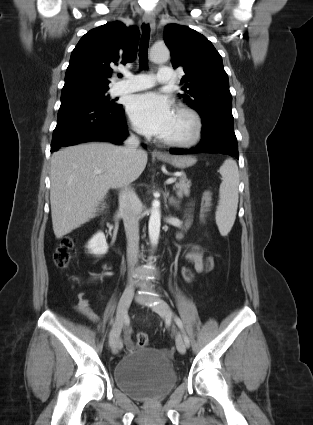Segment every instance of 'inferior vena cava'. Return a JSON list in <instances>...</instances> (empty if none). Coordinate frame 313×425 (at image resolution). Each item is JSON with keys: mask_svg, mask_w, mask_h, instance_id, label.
<instances>
[{"mask_svg": "<svg viewBox=\"0 0 313 425\" xmlns=\"http://www.w3.org/2000/svg\"><path fill=\"white\" fill-rule=\"evenodd\" d=\"M139 145V139L135 135H130L125 140L124 147L120 150L128 157H135L139 152ZM121 188L119 209L123 218L127 238V262L130 270H132L138 262L140 200L129 186V183H125ZM129 279L130 282H134L131 276Z\"/></svg>", "mask_w": 313, "mask_h": 425, "instance_id": "1", "label": "inferior vena cava"}]
</instances>
